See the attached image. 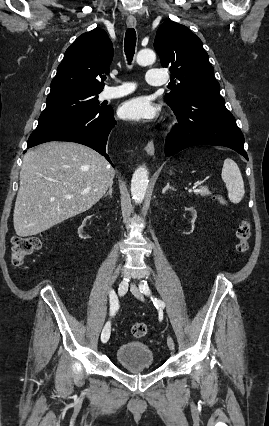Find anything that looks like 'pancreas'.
<instances>
[{
    "label": "pancreas",
    "instance_id": "pancreas-1",
    "mask_svg": "<svg viewBox=\"0 0 269 426\" xmlns=\"http://www.w3.org/2000/svg\"><path fill=\"white\" fill-rule=\"evenodd\" d=\"M196 194H200L201 196H209L211 195V192L206 187H200V191H198Z\"/></svg>",
    "mask_w": 269,
    "mask_h": 426
}]
</instances>
